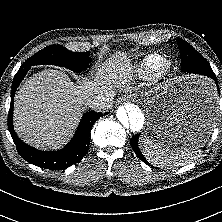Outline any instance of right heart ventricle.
<instances>
[{
    "instance_id": "obj_1",
    "label": "right heart ventricle",
    "mask_w": 222,
    "mask_h": 222,
    "mask_svg": "<svg viewBox=\"0 0 222 222\" xmlns=\"http://www.w3.org/2000/svg\"><path fill=\"white\" fill-rule=\"evenodd\" d=\"M165 59L162 54L153 53L143 59L141 71L143 74L150 76L156 72L158 65Z\"/></svg>"
}]
</instances>
